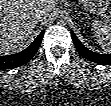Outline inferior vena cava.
Masks as SVG:
<instances>
[{
  "label": "inferior vena cava",
  "instance_id": "602c4592",
  "mask_svg": "<svg viewBox=\"0 0 111 106\" xmlns=\"http://www.w3.org/2000/svg\"><path fill=\"white\" fill-rule=\"evenodd\" d=\"M47 15H48L47 12L43 10H37L36 12V18L38 21H42L47 17Z\"/></svg>",
  "mask_w": 111,
  "mask_h": 106
}]
</instances>
